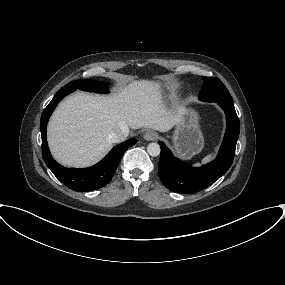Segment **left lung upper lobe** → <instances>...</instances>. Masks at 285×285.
Returning a JSON list of instances; mask_svg holds the SVG:
<instances>
[{
    "label": "left lung upper lobe",
    "instance_id": "5c2ea615",
    "mask_svg": "<svg viewBox=\"0 0 285 285\" xmlns=\"http://www.w3.org/2000/svg\"><path fill=\"white\" fill-rule=\"evenodd\" d=\"M202 79L204 85L198 95L200 100L233 105L228 90L218 78L202 76Z\"/></svg>",
    "mask_w": 285,
    "mask_h": 285
}]
</instances>
